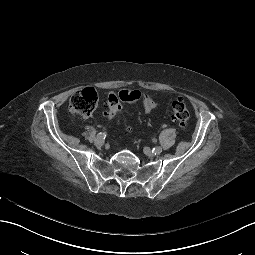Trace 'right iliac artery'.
<instances>
[{
  "label": "right iliac artery",
  "instance_id": "1",
  "mask_svg": "<svg viewBox=\"0 0 255 255\" xmlns=\"http://www.w3.org/2000/svg\"><path fill=\"white\" fill-rule=\"evenodd\" d=\"M97 137H98L99 139L103 140V139H105L106 134H105V133L100 132V133H98Z\"/></svg>",
  "mask_w": 255,
  "mask_h": 255
}]
</instances>
